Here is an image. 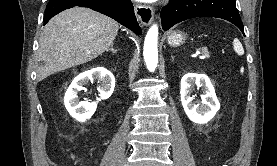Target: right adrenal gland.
<instances>
[{
	"label": "right adrenal gland",
	"instance_id": "obj_1",
	"mask_svg": "<svg viewBox=\"0 0 277 166\" xmlns=\"http://www.w3.org/2000/svg\"><path fill=\"white\" fill-rule=\"evenodd\" d=\"M107 51H111L112 53H116V50L114 49L113 45H111L110 48Z\"/></svg>",
	"mask_w": 277,
	"mask_h": 166
}]
</instances>
